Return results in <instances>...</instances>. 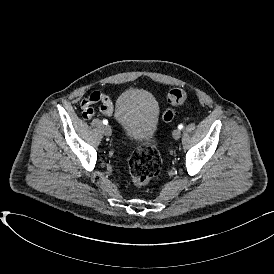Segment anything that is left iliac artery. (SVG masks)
Returning a JSON list of instances; mask_svg holds the SVG:
<instances>
[{"label":"left iliac artery","instance_id":"1","mask_svg":"<svg viewBox=\"0 0 274 274\" xmlns=\"http://www.w3.org/2000/svg\"><path fill=\"white\" fill-rule=\"evenodd\" d=\"M183 127H184V126H183L182 124H180V125L178 126L179 129H183Z\"/></svg>","mask_w":274,"mask_h":274}]
</instances>
